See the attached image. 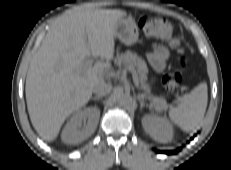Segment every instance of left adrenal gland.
Wrapping results in <instances>:
<instances>
[{
	"label": "left adrenal gland",
	"instance_id": "a2214340",
	"mask_svg": "<svg viewBox=\"0 0 231 170\" xmlns=\"http://www.w3.org/2000/svg\"><path fill=\"white\" fill-rule=\"evenodd\" d=\"M140 101V110L142 111L143 107H151L150 105L146 104L143 99L139 98Z\"/></svg>",
	"mask_w": 231,
	"mask_h": 170
}]
</instances>
